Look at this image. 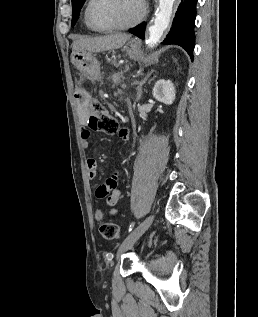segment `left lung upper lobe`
<instances>
[{
	"label": "left lung upper lobe",
	"instance_id": "1",
	"mask_svg": "<svg viewBox=\"0 0 258 317\" xmlns=\"http://www.w3.org/2000/svg\"><path fill=\"white\" fill-rule=\"evenodd\" d=\"M86 0H72V26L76 23L80 10Z\"/></svg>",
	"mask_w": 258,
	"mask_h": 317
}]
</instances>
